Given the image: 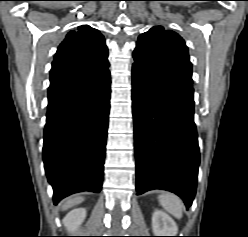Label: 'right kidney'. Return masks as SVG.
I'll return each instance as SVG.
<instances>
[{"label": "right kidney", "instance_id": "ca27d5eb", "mask_svg": "<svg viewBox=\"0 0 248 237\" xmlns=\"http://www.w3.org/2000/svg\"><path fill=\"white\" fill-rule=\"evenodd\" d=\"M86 218L85 208L71 210L63 219V224L69 232L75 231Z\"/></svg>", "mask_w": 248, "mask_h": 237}]
</instances>
